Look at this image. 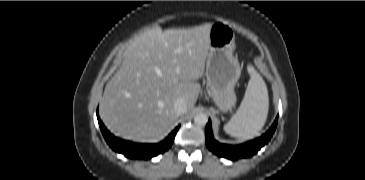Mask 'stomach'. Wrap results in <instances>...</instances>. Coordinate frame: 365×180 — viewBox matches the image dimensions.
Wrapping results in <instances>:
<instances>
[{"label":"stomach","instance_id":"1","mask_svg":"<svg viewBox=\"0 0 365 180\" xmlns=\"http://www.w3.org/2000/svg\"><path fill=\"white\" fill-rule=\"evenodd\" d=\"M209 41L206 61L209 95L218 109L225 113L236 104L234 88L241 75L240 64L233 55L235 34L229 24L217 21L211 24Z\"/></svg>","mask_w":365,"mask_h":180}]
</instances>
